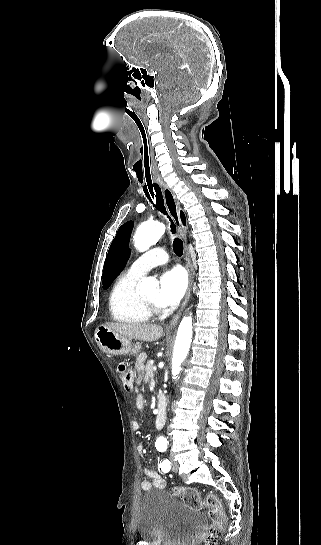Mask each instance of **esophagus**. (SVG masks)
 <instances>
[{
  "mask_svg": "<svg viewBox=\"0 0 321 545\" xmlns=\"http://www.w3.org/2000/svg\"><path fill=\"white\" fill-rule=\"evenodd\" d=\"M163 196H164L165 205L167 207V210H168L169 214L171 215V217H172V219H173V221H174V223H175V225L177 227L178 233L184 239L185 244H186L184 255H185V260H186V269H187V272H188L187 292H186L184 301L182 302V305L180 307V310L173 317L171 322H169V324L167 325V328L170 329V328L175 327V325L177 324V322H178V320H179V318L181 316V313L183 312V310H184V308H185V306H186V304H187V302L189 300L192 285H193V280H194V268H193V265L191 263L189 249H188V245H187V231L183 227V225L181 223V220H180V215H179L180 203L178 202L175 193L167 185H163Z\"/></svg>",
  "mask_w": 321,
  "mask_h": 545,
  "instance_id": "esophagus-1",
  "label": "esophagus"
}]
</instances>
